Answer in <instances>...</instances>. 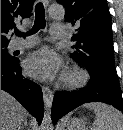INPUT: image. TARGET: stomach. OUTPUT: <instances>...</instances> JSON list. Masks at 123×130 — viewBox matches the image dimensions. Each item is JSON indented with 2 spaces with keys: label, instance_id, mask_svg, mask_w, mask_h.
Listing matches in <instances>:
<instances>
[{
  "label": "stomach",
  "instance_id": "stomach-1",
  "mask_svg": "<svg viewBox=\"0 0 123 130\" xmlns=\"http://www.w3.org/2000/svg\"><path fill=\"white\" fill-rule=\"evenodd\" d=\"M67 130H85V121L80 118H73L67 122Z\"/></svg>",
  "mask_w": 123,
  "mask_h": 130
}]
</instances>
